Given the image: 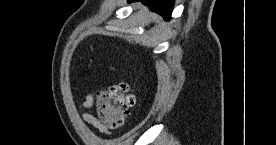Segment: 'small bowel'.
I'll use <instances>...</instances> for the list:
<instances>
[{"label":"small bowel","mask_w":276,"mask_h":145,"mask_svg":"<svg viewBox=\"0 0 276 145\" xmlns=\"http://www.w3.org/2000/svg\"><path fill=\"white\" fill-rule=\"evenodd\" d=\"M93 103V96L90 94L85 95L84 101L81 104V108L83 111L81 117L85 123L93 126L105 136H109L110 130L106 126H104L94 115L87 112V110H89L93 106Z\"/></svg>","instance_id":"obj_1"}]
</instances>
